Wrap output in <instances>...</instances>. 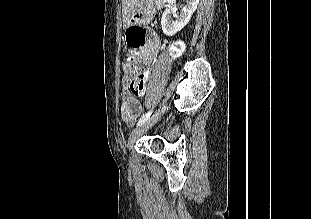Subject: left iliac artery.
<instances>
[{"label":"left iliac artery","instance_id":"obj_1","mask_svg":"<svg viewBox=\"0 0 311 219\" xmlns=\"http://www.w3.org/2000/svg\"><path fill=\"white\" fill-rule=\"evenodd\" d=\"M152 112H153V111L150 110V111H148L145 115H143V116L140 118V120H139L137 126H140V125H142L143 123H145V122L149 119V117L151 116Z\"/></svg>","mask_w":311,"mask_h":219}]
</instances>
